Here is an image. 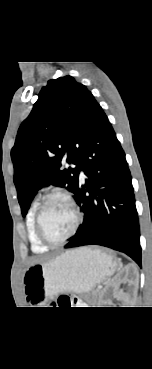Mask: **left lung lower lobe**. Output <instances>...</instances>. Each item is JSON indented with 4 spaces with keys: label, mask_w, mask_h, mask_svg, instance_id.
Wrapping results in <instances>:
<instances>
[{
    "label": "left lung lower lobe",
    "mask_w": 152,
    "mask_h": 369,
    "mask_svg": "<svg viewBox=\"0 0 152 369\" xmlns=\"http://www.w3.org/2000/svg\"><path fill=\"white\" fill-rule=\"evenodd\" d=\"M75 200L84 221L65 248L101 245L124 252L141 267L140 228L125 153L102 108L97 109L80 155Z\"/></svg>",
    "instance_id": "0a47b994"
}]
</instances>
